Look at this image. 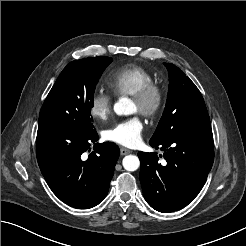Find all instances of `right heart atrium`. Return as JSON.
<instances>
[{
  "label": "right heart atrium",
  "instance_id": "right-heart-atrium-1",
  "mask_svg": "<svg viewBox=\"0 0 246 246\" xmlns=\"http://www.w3.org/2000/svg\"><path fill=\"white\" fill-rule=\"evenodd\" d=\"M112 97L105 92L95 93L90 101V115L98 121H106L112 114Z\"/></svg>",
  "mask_w": 246,
  "mask_h": 246
}]
</instances>
